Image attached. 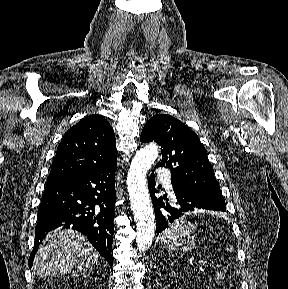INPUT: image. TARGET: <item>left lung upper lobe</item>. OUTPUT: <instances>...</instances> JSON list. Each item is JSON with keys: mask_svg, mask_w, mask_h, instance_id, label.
Wrapping results in <instances>:
<instances>
[{"mask_svg": "<svg viewBox=\"0 0 288 289\" xmlns=\"http://www.w3.org/2000/svg\"><path fill=\"white\" fill-rule=\"evenodd\" d=\"M141 141H155L161 146L163 166L172 173V186L210 196L225 203L220 186L198 136L170 115L153 116L142 130Z\"/></svg>", "mask_w": 288, "mask_h": 289, "instance_id": "obj_1", "label": "left lung upper lobe"}]
</instances>
